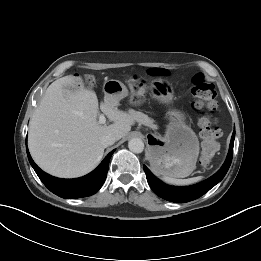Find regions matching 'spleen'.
I'll use <instances>...</instances> for the list:
<instances>
[{
  "label": "spleen",
  "instance_id": "1",
  "mask_svg": "<svg viewBox=\"0 0 261 261\" xmlns=\"http://www.w3.org/2000/svg\"><path fill=\"white\" fill-rule=\"evenodd\" d=\"M162 179L165 182H167L169 184H173V185H188V184H192V183L200 181L202 179V177L198 176V177H193V178H188V179H176V178L164 175L162 177Z\"/></svg>",
  "mask_w": 261,
  "mask_h": 261
}]
</instances>
